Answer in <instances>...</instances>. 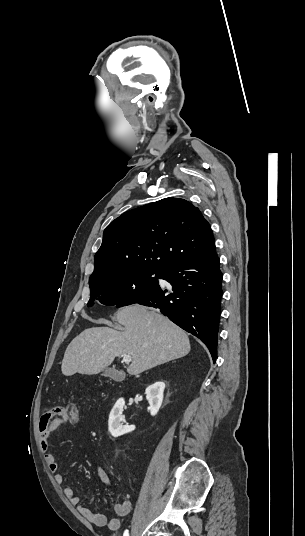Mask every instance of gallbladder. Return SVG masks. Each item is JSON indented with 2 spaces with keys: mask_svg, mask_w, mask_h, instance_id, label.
<instances>
[{
  "mask_svg": "<svg viewBox=\"0 0 305 536\" xmlns=\"http://www.w3.org/2000/svg\"><path fill=\"white\" fill-rule=\"evenodd\" d=\"M120 372L118 370H114V368H104L102 376H106V378H112V380H117Z\"/></svg>",
  "mask_w": 305,
  "mask_h": 536,
  "instance_id": "bac80fb5",
  "label": "gallbladder"
}]
</instances>
